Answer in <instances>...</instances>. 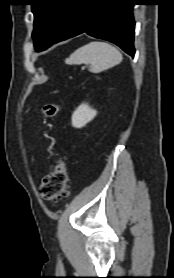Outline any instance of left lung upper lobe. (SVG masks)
Wrapping results in <instances>:
<instances>
[{"label":"left lung upper lobe","instance_id":"1","mask_svg":"<svg viewBox=\"0 0 174 278\" xmlns=\"http://www.w3.org/2000/svg\"><path fill=\"white\" fill-rule=\"evenodd\" d=\"M77 0H33L35 50L43 51L56 42L76 7Z\"/></svg>","mask_w":174,"mask_h":278}]
</instances>
